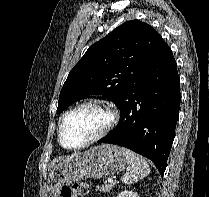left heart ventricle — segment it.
Listing matches in <instances>:
<instances>
[{
  "label": "left heart ventricle",
  "mask_w": 209,
  "mask_h": 197,
  "mask_svg": "<svg viewBox=\"0 0 209 197\" xmlns=\"http://www.w3.org/2000/svg\"><path fill=\"white\" fill-rule=\"evenodd\" d=\"M108 120L107 113L97 107L86 106L71 114L62 130L65 146H77L98 133Z\"/></svg>",
  "instance_id": "b2bd125f"
}]
</instances>
